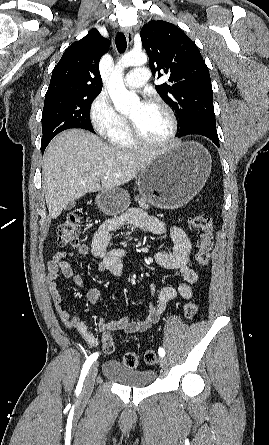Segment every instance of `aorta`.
<instances>
[{
	"label": "aorta",
	"mask_w": 269,
	"mask_h": 445,
	"mask_svg": "<svg viewBox=\"0 0 269 445\" xmlns=\"http://www.w3.org/2000/svg\"><path fill=\"white\" fill-rule=\"evenodd\" d=\"M147 63L143 52L131 51L121 57L108 80V92L118 112H127L139 104V97L126 89L123 82V70L129 66H141Z\"/></svg>",
	"instance_id": "762f6f07"
}]
</instances>
